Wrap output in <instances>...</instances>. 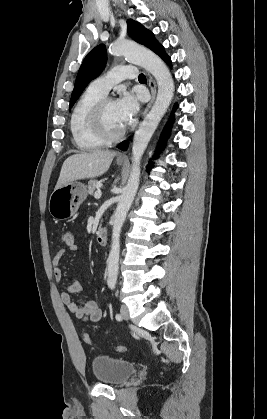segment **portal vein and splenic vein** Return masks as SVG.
Returning a JSON list of instances; mask_svg holds the SVG:
<instances>
[{"label":"portal vein and splenic vein","mask_w":267,"mask_h":419,"mask_svg":"<svg viewBox=\"0 0 267 419\" xmlns=\"http://www.w3.org/2000/svg\"><path fill=\"white\" fill-rule=\"evenodd\" d=\"M101 195H102V192H101L100 190H97V191L95 192V194H94V197H95L96 199H99V198L101 197Z\"/></svg>","instance_id":"obj_1"}]
</instances>
